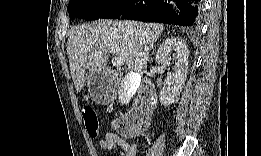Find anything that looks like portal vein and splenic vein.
<instances>
[{"label": "portal vein and splenic vein", "mask_w": 261, "mask_h": 156, "mask_svg": "<svg viewBox=\"0 0 261 156\" xmlns=\"http://www.w3.org/2000/svg\"><path fill=\"white\" fill-rule=\"evenodd\" d=\"M113 61L117 64V65H123L125 63V60L123 58H114Z\"/></svg>", "instance_id": "portal-vein-and-splenic-vein-1"}]
</instances>
